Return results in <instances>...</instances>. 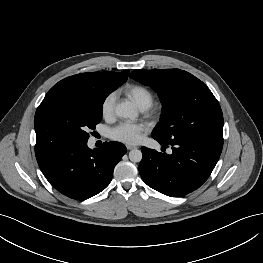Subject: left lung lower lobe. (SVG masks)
I'll list each match as a JSON object with an SVG mask.
<instances>
[{"mask_svg": "<svg viewBox=\"0 0 263 263\" xmlns=\"http://www.w3.org/2000/svg\"><path fill=\"white\" fill-rule=\"evenodd\" d=\"M156 140L165 148L172 146V154L142 147L139 172L149 187L171 197L199 188L213 171L223 147V137L180 138L169 143Z\"/></svg>", "mask_w": 263, "mask_h": 263, "instance_id": "0a47b994", "label": "left lung lower lobe"}]
</instances>
